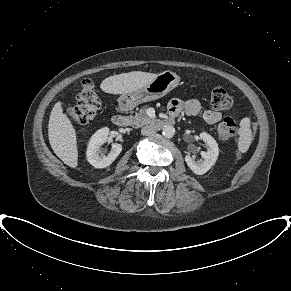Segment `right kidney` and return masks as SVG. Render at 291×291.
Returning <instances> with one entry per match:
<instances>
[{
  "label": "right kidney",
  "instance_id": "right-kidney-1",
  "mask_svg": "<svg viewBox=\"0 0 291 291\" xmlns=\"http://www.w3.org/2000/svg\"><path fill=\"white\" fill-rule=\"evenodd\" d=\"M109 129L102 128L98 130L90 139L87 147V160L95 168H105L109 166L121 153L122 146L113 143L108 155L99 154L100 147L108 140Z\"/></svg>",
  "mask_w": 291,
  "mask_h": 291
}]
</instances>
